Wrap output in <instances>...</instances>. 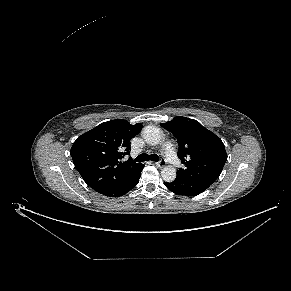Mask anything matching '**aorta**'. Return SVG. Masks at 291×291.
Instances as JSON below:
<instances>
[{"label": "aorta", "instance_id": "aorta-1", "mask_svg": "<svg viewBox=\"0 0 291 291\" xmlns=\"http://www.w3.org/2000/svg\"><path fill=\"white\" fill-rule=\"evenodd\" d=\"M142 137L149 145H157L161 142L162 134L156 126H146L142 130ZM161 176L164 181L172 182L176 178V169L173 166H166L161 171Z\"/></svg>", "mask_w": 291, "mask_h": 291}]
</instances>
